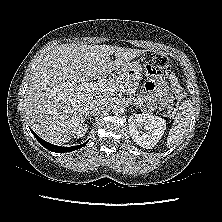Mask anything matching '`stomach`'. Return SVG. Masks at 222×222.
I'll return each instance as SVG.
<instances>
[{
  "mask_svg": "<svg viewBox=\"0 0 222 222\" xmlns=\"http://www.w3.org/2000/svg\"><path fill=\"white\" fill-rule=\"evenodd\" d=\"M121 77L130 82H135L143 77V68L138 62L126 64L120 72Z\"/></svg>",
  "mask_w": 222,
  "mask_h": 222,
  "instance_id": "1",
  "label": "stomach"
}]
</instances>
